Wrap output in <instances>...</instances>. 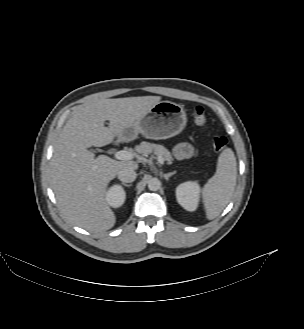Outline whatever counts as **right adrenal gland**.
<instances>
[{
    "mask_svg": "<svg viewBox=\"0 0 304 329\" xmlns=\"http://www.w3.org/2000/svg\"><path fill=\"white\" fill-rule=\"evenodd\" d=\"M122 185L125 186V187H130L131 186V184H126V183H122Z\"/></svg>",
    "mask_w": 304,
    "mask_h": 329,
    "instance_id": "1",
    "label": "right adrenal gland"
}]
</instances>
